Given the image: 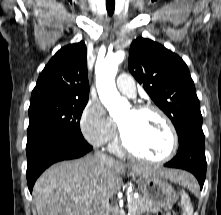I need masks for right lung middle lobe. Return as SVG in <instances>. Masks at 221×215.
<instances>
[{"instance_id": "1", "label": "right lung middle lobe", "mask_w": 221, "mask_h": 215, "mask_svg": "<svg viewBox=\"0 0 221 215\" xmlns=\"http://www.w3.org/2000/svg\"><path fill=\"white\" fill-rule=\"evenodd\" d=\"M87 101L58 100L30 105L27 144L57 135L83 138L80 118Z\"/></svg>"}]
</instances>
